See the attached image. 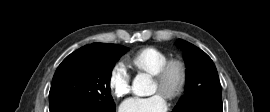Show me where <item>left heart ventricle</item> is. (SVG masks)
I'll return each instance as SVG.
<instances>
[{
  "mask_svg": "<svg viewBox=\"0 0 270 112\" xmlns=\"http://www.w3.org/2000/svg\"><path fill=\"white\" fill-rule=\"evenodd\" d=\"M152 92H159L160 93L159 86L155 81H153V90H152Z\"/></svg>",
  "mask_w": 270,
  "mask_h": 112,
  "instance_id": "left-heart-ventricle-1",
  "label": "left heart ventricle"
}]
</instances>
